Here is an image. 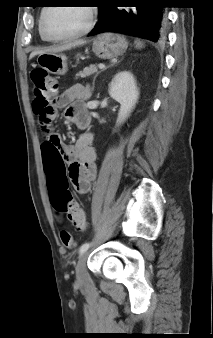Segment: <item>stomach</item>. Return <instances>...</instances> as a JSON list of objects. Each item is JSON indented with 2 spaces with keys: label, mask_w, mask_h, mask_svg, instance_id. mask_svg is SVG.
Returning <instances> with one entry per match:
<instances>
[{
  "label": "stomach",
  "mask_w": 213,
  "mask_h": 338,
  "mask_svg": "<svg viewBox=\"0 0 213 338\" xmlns=\"http://www.w3.org/2000/svg\"><path fill=\"white\" fill-rule=\"evenodd\" d=\"M128 42L125 37L115 33L98 35L92 41V51L101 59L117 58L126 51ZM41 69L54 75L67 72V57L62 53L41 54L37 58Z\"/></svg>",
  "instance_id": "0dacf381"
}]
</instances>
